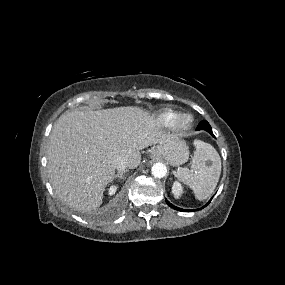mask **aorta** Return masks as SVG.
Masks as SVG:
<instances>
[{
	"label": "aorta",
	"mask_w": 285,
	"mask_h": 285,
	"mask_svg": "<svg viewBox=\"0 0 285 285\" xmlns=\"http://www.w3.org/2000/svg\"><path fill=\"white\" fill-rule=\"evenodd\" d=\"M151 171L155 178H163L167 173V168L163 163H156L153 165Z\"/></svg>",
	"instance_id": "1"
}]
</instances>
